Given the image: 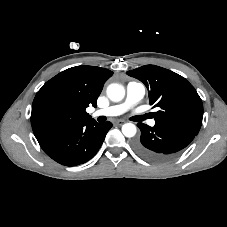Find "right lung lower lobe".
Masks as SVG:
<instances>
[{"label":"right lung lower lobe","mask_w":227,"mask_h":227,"mask_svg":"<svg viewBox=\"0 0 227 227\" xmlns=\"http://www.w3.org/2000/svg\"><path fill=\"white\" fill-rule=\"evenodd\" d=\"M112 124L91 120L49 133L38 140L44 152L65 166H76L90 160L100 149Z\"/></svg>","instance_id":"1"}]
</instances>
